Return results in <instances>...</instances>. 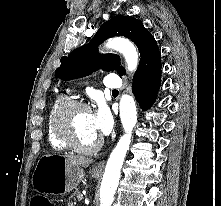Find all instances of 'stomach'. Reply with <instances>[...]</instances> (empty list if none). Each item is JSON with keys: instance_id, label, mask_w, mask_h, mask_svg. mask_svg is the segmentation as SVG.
I'll use <instances>...</instances> for the list:
<instances>
[{"instance_id": "0dacf381", "label": "stomach", "mask_w": 221, "mask_h": 206, "mask_svg": "<svg viewBox=\"0 0 221 206\" xmlns=\"http://www.w3.org/2000/svg\"><path fill=\"white\" fill-rule=\"evenodd\" d=\"M84 176L83 168L73 165L66 156L44 155L34 169L32 186L43 194L63 195L75 189ZM92 177H99V173L93 171Z\"/></svg>"}]
</instances>
